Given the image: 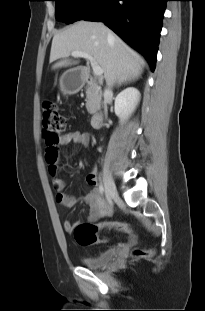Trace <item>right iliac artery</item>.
Here are the masks:
<instances>
[{
  "mask_svg": "<svg viewBox=\"0 0 205 311\" xmlns=\"http://www.w3.org/2000/svg\"><path fill=\"white\" fill-rule=\"evenodd\" d=\"M99 193L101 195H103V193H104V186H103L102 182H100V184H99Z\"/></svg>",
  "mask_w": 205,
  "mask_h": 311,
  "instance_id": "obj_1",
  "label": "right iliac artery"
}]
</instances>
